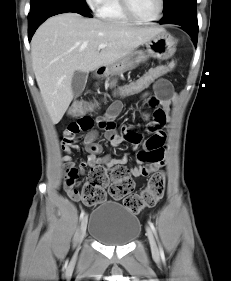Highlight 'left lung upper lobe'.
<instances>
[{"label": "left lung upper lobe", "mask_w": 231, "mask_h": 281, "mask_svg": "<svg viewBox=\"0 0 231 281\" xmlns=\"http://www.w3.org/2000/svg\"><path fill=\"white\" fill-rule=\"evenodd\" d=\"M163 1H164V14L179 4H183L187 2H196V0H163Z\"/></svg>", "instance_id": "left-lung-upper-lobe-1"}]
</instances>
